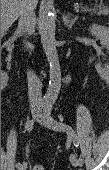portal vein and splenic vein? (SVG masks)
<instances>
[{
	"label": "portal vein and splenic vein",
	"instance_id": "18ae733b",
	"mask_svg": "<svg viewBox=\"0 0 109 170\" xmlns=\"http://www.w3.org/2000/svg\"><path fill=\"white\" fill-rule=\"evenodd\" d=\"M83 11H88V8H86V10H83ZM76 12H79V8L78 7L76 8Z\"/></svg>",
	"mask_w": 109,
	"mask_h": 170
}]
</instances>
